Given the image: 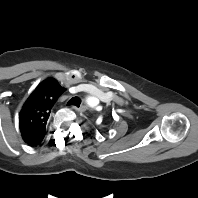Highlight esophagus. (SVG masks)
I'll list each match as a JSON object with an SVG mask.
<instances>
[{"label":"esophagus","instance_id":"esophagus-1","mask_svg":"<svg viewBox=\"0 0 198 198\" xmlns=\"http://www.w3.org/2000/svg\"><path fill=\"white\" fill-rule=\"evenodd\" d=\"M72 109H74V110H76L78 112H84V111H86L87 106H85V105H81L80 107L72 106Z\"/></svg>","mask_w":198,"mask_h":198}]
</instances>
